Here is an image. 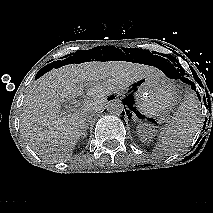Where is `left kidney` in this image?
I'll return each instance as SVG.
<instances>
[{
    "instance_id": "5707ae66",
    "label": "left kidney",
    "mask_w": 213,
    "mask_h": 213,
    "mask_svg": "<svg viewBox=\"0 0 213 213\" xmlns=\"http://www.w3.org/2000/svg\"><path fill=\"white\" fill-rule=\"evenodd\" d=\"M152 132H153L152 128L148 125H140L138 127V133L143 142H146L148 139L151 138Z\"/></svg>"
}]
</instances>
